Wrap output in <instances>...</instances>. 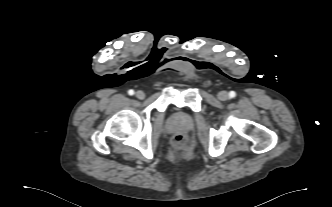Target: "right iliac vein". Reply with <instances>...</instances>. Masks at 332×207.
<instances>
[{
    "mask_svg": "<svg viewBox=\"0 0 332 207\" xmlns=\"http://www.w3.org/2000/svg\"><path fill=\"white\" fill-rule=\"evenodd\" d=\"M135 95L140 100H142V99L145 98V93L143 91H141V90L137 91Z\"/></svg>",
    "mask_w": 332,
    "mask_h": 207,
    "instance_id": "right-iliac-vein-1",
    "label": "right iliac vein"
}]
</instances>
